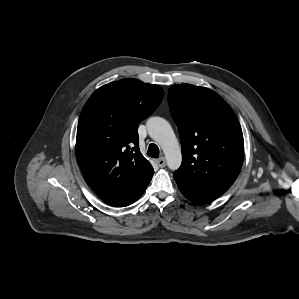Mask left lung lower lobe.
I'll return each mask as SVG.
<instances>
[{"instance_id":"1","label":"left lung lower lobe","mask_w":299,"mask_h":299,"mask_svg":"<svg viewBox=\"0 0 299 299\" xmlns=\"http://www.w3.org/2000/svg\"><path fill=\"white\" fill-rule=\"evenodd\" d=\"M177 185L179 187V190L181 193L190 201L195 202V203H208L210 201H213L215 197L197 192L195 190H192L180 183L177 182Z\"/></svg>"}]
</instances>
